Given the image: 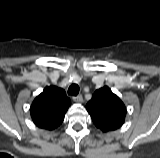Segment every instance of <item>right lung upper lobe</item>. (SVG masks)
I'll return each instance as SVG.
<instances>
[{
    "instance_id": "1",
    "label": "right lung upper lobe",
    "mask_w": 160,
    "mask_h": 158,
    "mask_svg": "<svg viewBox=\"0 0 160 158\" xmlns=\"http://www.w3.org/2000/svg\"><path fill=\"white\" fill-rule=\"evenodd\" d=\"M70 104L71 101L62 88L47 86L32 102V120L39 128L53 130L63 122Z\"/></svg>"
}]
</instances>
